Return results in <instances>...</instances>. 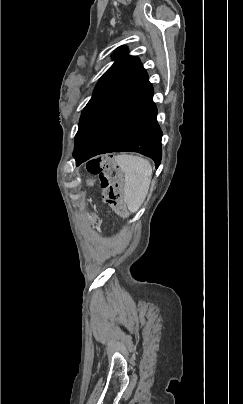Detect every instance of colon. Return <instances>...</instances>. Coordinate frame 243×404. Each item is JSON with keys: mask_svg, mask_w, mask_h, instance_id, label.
Instances as JSON below:
<instances>
[{"mask_svg": "<svg viewBox=\"0 0 243 404\" xmlns=\"http://www.w3.org/2000/svg\"><path fill=\"white\" fill-rule=\"evenodd\" d=\"M91 175L98 176L105 201L116 211L125 212L123 175L112 157L91 160L87 165Z\"/></svg>", "mask_w": 243, "mask_h": 404, "instance_id": "5ec220e1", "label": "colon"}]
</instances>
